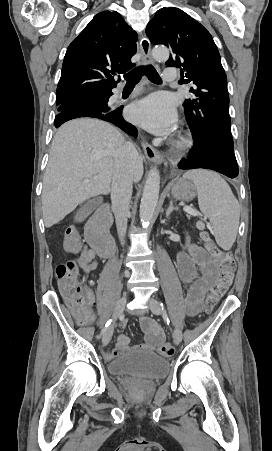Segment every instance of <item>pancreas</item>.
Returning <instances> with one entry per match:
<instances>
[{"mask_svg":"<svg viewBox=\"0 0 272 451\" xmlns=\"http://www.w3.org/2000/svg\"><path fill=\"white\" fill-rule=\"evenodd\" d=\"M187 218H188V220H190L191 216H188V214H187Z\"/></svg>","mask_w":272,"mask_h":451,"instance_id":"obj_1","label":"pancreas"}]
</instances>
